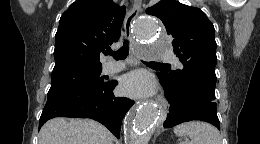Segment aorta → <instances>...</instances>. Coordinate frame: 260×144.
Instances as JSON below:
<instances>
[{"label":"aorta","mask_w":260,"mask_h":144,"mask_svg":"<svg viewBox=\"0 0 260 144\" xmlns=\"http://www.w3.org/2000/svg\"><path fill=\"white\" fill-rule=\"evenodd\" d=\"M136 37L143 42L160 40L155 19L145 17L135 23ZM145 56H151L150 50ZM160 111L153 102L136 107L126 118L129 144H148L153 128L159 123Z\"/></svg>","instance_id":"aorta-1"}]
</instances>
